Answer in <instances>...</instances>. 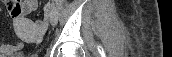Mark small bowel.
<instances>
[{
	"mask_svg": "<svg viewBox=\"0 0 172 57\" xmlns=\"http://www.w3.org/2000/svg\"><path fill=\"white\" fill-rule=\"evenodd\" d=\"M37 6V1L26 0V1H15L11 3V10L18 11L14 14L13 20L16 23H20L26 15L34 11ZM25 45L24 41H18L14 43H0V56H11L23 49Z\"/></svg>",
	"mask_w": 172,
	"mask_h": 57,
	"instance_id": "obj_1",
	"label": "small bowel"
}]
</instances>
